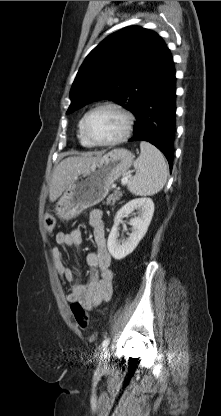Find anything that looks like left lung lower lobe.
<instances>
[{"instance_id":"1","label":"left lung lower lobe","mask_w":221,"mask_h":416,"mask_svg":"<svg viewBox=\"0 0 221 416\" xmlns=\"http://www.w3.org/2000/svg\"><path fill=\"white\" fill-rule=\"evenodd\" d=\"M173 59L166 47L157 74L141 97L135 114L134 136L129 141H148L173 164L176 122V88Z\"/></svg>"}]
</instances>
